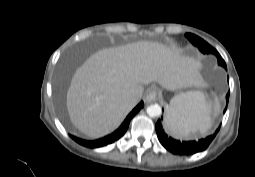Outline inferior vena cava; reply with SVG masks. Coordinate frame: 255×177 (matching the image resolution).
I'll list each match as a JSON object with an SVG mask.
<instances>
[{
    "label": "inferior vena cava",
    "instance_id": "602c4592",
    "mask_svg": "<svg viewBox=\"0 0 255 177\" xmlns=\"http://www.w3.org/2000/svg\"><path fill=\"white\" fill-rule=\"evenodd\" d=\"M129 103L130 104H132V105H136L137 104V102H138V98L136 97V96H131L130 98H129Z\"/></svg>",
    "mask_w": 255,
    "mask_h": 177
}]
</instances>
